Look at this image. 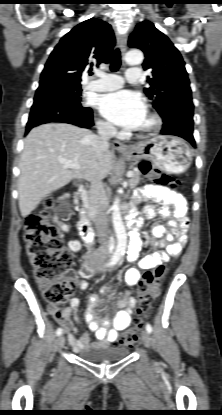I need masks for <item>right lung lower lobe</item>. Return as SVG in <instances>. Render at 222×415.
<instances>
[{"label":"right lung lower lobe","mask_w":222,"mask_h":415,"mask_svg":"<svg viewBox=\"0 0 222 415\" xmlns=\"http://www.w3.org/2000/svg\"><path fill=\"white\" fill-rule=\"evenodd\" d=\"M49 122H64L82 128L94 125L90 108H85L66 89L63 80L46 77L40 80L31 108L26 133Z\"/></svg>","instance_id":"right-lung-lower-lobe-1"}]
</instances>
